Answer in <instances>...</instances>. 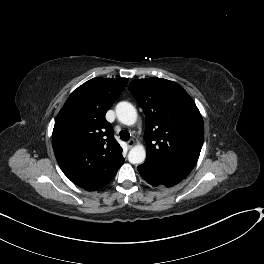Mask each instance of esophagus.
Wrapping results in <instances>:
<instances>
[{"label": "esophagus", "mask_w": 264, "mask_h": 264, "mask_svg": "<svg viewBox=\"0 0 264 264\" xmlns=\"http://www.w3.org/2000/svg\"><path fill=\"white\" fill-rule=\"evenodd\" d=\"M134 145H135V141H134L133 139H131V140H129V141L127 142V146H128V148H132Z\"/></svg>", "instance_id": "esophagus-1"}]
</instances>
